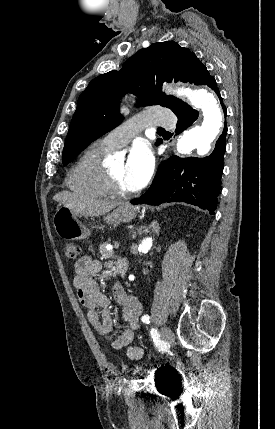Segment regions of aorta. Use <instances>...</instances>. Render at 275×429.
I'll return each instance as SVG.
<instances>
[{
  "label": "aorta",
  "instance_id": "aorta-1",
  "mask_svg": "<svg viewBox=\"0 0 275 429\" xmlns=\"http://www.w3.org/2000/svg\"><path fill=\"white\" fill-rule=\"evenodd\" d=\"M178 97L185 96L192 105L202 111V121L179 137L177 151L181 154H190L197 150L198 154H206L210 150L212 141L218 136L224 122V110L218 98L208 87H200L196 90L177 89ZM152 247V238L145 237L139 245V252L146 254Z\"/></svg>",
  "mask_w": 275,
  "mask_h": 429
}]
</instances>
